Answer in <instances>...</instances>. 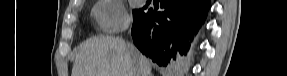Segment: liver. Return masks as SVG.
<instances>
[{
    "label": "liver",
    "mask_w": 287,
    "mask_h": 76,
    "mask_svg": "<svg viewBox=\"0 0 287 76\" xmlns=\"http://www.w3.org/2000/svg\"><path fill=\"white\" fill-rule=\"evenodd\" d=\"M152 76L151 63L124 40L98 36L86 40L76 53L71 76Z\"/></svg>",
    "instance_id": "obj_1"
}]
</instances>
